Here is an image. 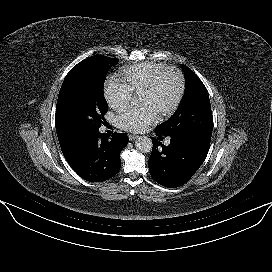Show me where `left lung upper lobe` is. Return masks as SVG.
Segmentation results:
<instances>
[{"mask_svg": "<svg viewBox=\"0 0 272 272\" xmlns=\"http://www.w3.org/2000/svg\"><path fill=\"white\" fill-rule=\"evenodd\" d=\"M186 80L183 100L176 113L156 130L164 136H192L211 140L213 117L206 87L196 74L182 65Z\"/></svg>", "mask_w": 272, "mask_h": 272, "instance_id": "5c2ea615", "label": "left lung upper lobe"}]
</instances>
